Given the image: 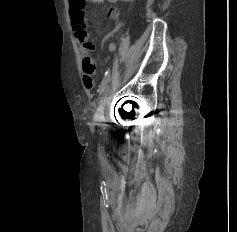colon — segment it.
<instances>
[{
  "label": "colon",
  "instance_id": "5ec220e1",
  "mask_svg": "<svg viewBox=\"0 0 237 232\" xmlns=\"http://www.w3.org/2000/svg\"><path fill=\"white\" fill-rule=\"evenodd\" d=\"M69 2L72 24L76 31V34L81 38H85L87 37L88 29L85 14V0H69ZM114 15V10L110 9L107 11V16L112 17Z\"/></svg>",
  "mask_w": 237,
  "mask_h": 232
}]
</instances>
